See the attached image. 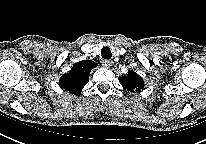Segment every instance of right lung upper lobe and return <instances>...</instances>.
<instances>
[{
    "mask_svg": "<svg viewBox=\"0 0 206 144\" xmlns=\"http://www.w3.org/2000/svg\"><path fill=\"white\" fill-rule=\"evenodd\" d=\"M94 67H96V63L91 60L75 63L69 73L60 78V87L72 94L79 95L82 88L88 83L90 71Z\"/></svg>",
    "mask_w": 206,
    "mask_h": 144,
    "instance_id": "obj_1",
    "label": "right lung upper lobe"
}]
</instances>
